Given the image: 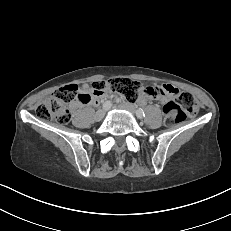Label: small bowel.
Segmentation results:
<instances>
[{
  "label": "small bowel",
  "instance_id": "c3829d8e",
  "mask_svg": "<svg viewBox=\"0 0 231 231\" xmlns=\"http://www.w3.org/2000/svg\"><path fill=\"white\" fill-rule=\"evenodd\" d=\"M82 92L88 95V98L84 101H75L73 103V108L78 110L82 105H95L98 103L101 97L106 96V94H95L92 89L87 85L82 87ZM178 93L175 86L171 84H165L160 86H149L146 88L145 92L139 97L138 103L141 105L146 104L150 100H159L161 102H167L174 98Z\"/></svg>",
  "mask_w": 231,
  "mask_h": 231
}]
</instances>
